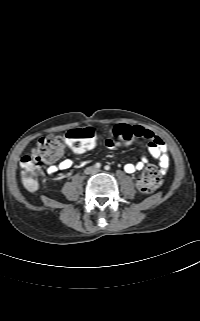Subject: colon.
<instances>
[{
    "label": "colon",
    "instance_id": "colon-1",
    "mask_svg": "<svg viewBox=\"0 0 200 321\" xmlns=\"http://www.w3.org/2000/svg\"><path fill=\"white\" fill-rule=\"evenodd\" d=\"M114 141L121 145L131 143L138 133L128 125H117L112 130ZM96 132L90 127L71 129L65 135H47L38 140L35 148L20 160L22 181L28 191L38 187L36 174L42 163L57 157L65 145L79 153L91 149L96 141ZM162 182V171L155 166H148L137 180V188L143 194L153 193Z\"/></svg>",
    "mask_w": 200,
    "mask_h": 321
}]
</instances>
